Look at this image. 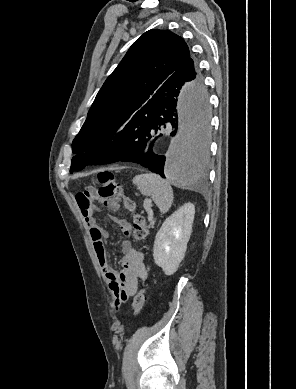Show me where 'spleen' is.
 Segmentation results:
<instances>
[{"label":"spleen","instance_id":"spleen-1","mask_svg":"<svg viewBox=\"0 0 296 389\" xmlns=\"http://www.w3.org/2000/svg\"><path fill=\"white\" fill-rule=\"evenodd\" d=\"M133 183L144 196H150L158 206L160 212L165 214L173 203V189L171 185L158 175L152 173L136 175Z\"/></svg>","mask_w":296,"mask_h":389}]
</instances>
